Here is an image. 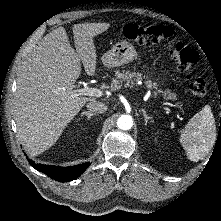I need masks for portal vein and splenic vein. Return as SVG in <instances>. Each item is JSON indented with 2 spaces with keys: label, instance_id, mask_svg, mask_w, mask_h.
Returning a JSON list of instances; mask_svg holds the SVG:
<instances>
[{
  "label": "portal vein and splenic vein",
  "instance_id": "18ae733b",
  "mask_svg": "<svg viewBox=\"0 0 221 221\" xmlns=\"http://www.w3.org/2000/svg\"><path fill=\"white\" fill-rule=\"evenodd\" d=\"M72 97L77 96H91V97H101L103 95V92L100 89L97 88H90L88 86H84L82 89L73 90L70 92Z\"/></svg>",
  "mask_w": 221,
  "mask_h": 221
}]
</instances>
